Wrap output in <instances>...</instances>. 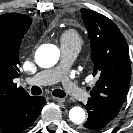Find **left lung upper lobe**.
Segmentation results:
<instances>
[{
  "label": "left lung upper lobe",
  "mask_w": 133,
  "mask_h": 133,
  "mask_svg": "<svg viewBox=\"0 0 133 133\" xmlns=\"http://www.w3.org/2000/svg\"><path fill=\"white\" fill-rule=\"evenodd\" d=\"M81 13L90 38L93 76L98 78L89 100L120 109L131 78L126 40L118 27L104 15L85 8Z\"/></svg>",
  "instance_id": "5c2ea615"
}]
</instances>
